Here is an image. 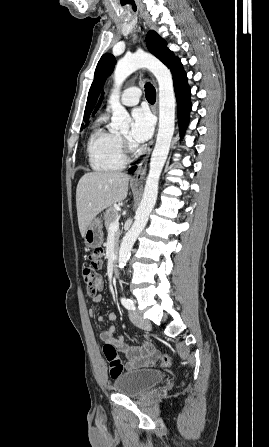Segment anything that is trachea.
<instances>
[{"mask_svg": "<svg viewBox=\"0 0 269 447\" xmlns=\"http://www.w3.org/2000/svg\"><path fill=\"white\" fill-rule=\"evenodd\" d=\"M145 96L149 103H154L156 101V90L151 83L145 84Z\"/></svg>", "mask_w": 269, "mask_h": 447, "instance_id": "obj_1", "label": "trachea"}]
</instances>
